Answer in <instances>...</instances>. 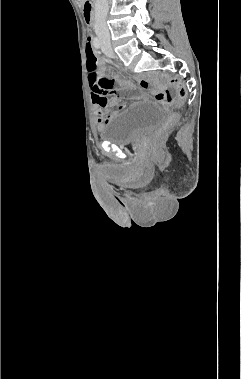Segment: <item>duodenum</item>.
I'll use <instances>...</instances> for the list:
<instances>
[{
    "instance_id": "duodenum-1",
    "label": "duodenum",
    "mask_w": 241,
    "mask_h": 379,
    "mask_svg": "<svg viewBox=\"0 0 241 379\" xmlns=\"http://www.w3.org/2000/svg\"><path fill=\"white\" fill-rule=\"evenodd\" d=\"M84 17L88 23L93 22L94 13H93V4L90 0H85L83 6Z\"/></svg>"
}]
</instances>
